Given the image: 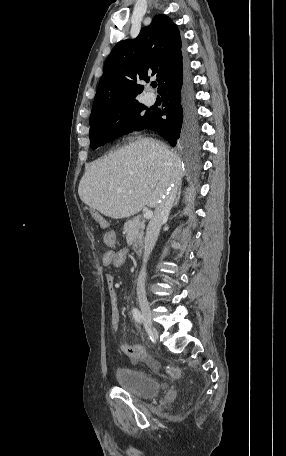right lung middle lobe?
<instances>
[{
  "label": "right lung middle lobe",
  "mask_w": 286,
  "mask_h": 456,
  "mask_svg": "<svg viewBox=\"0 0 286 456\" xmlns=\"http://www.w3.org/2000/svg\"><path fill=\"white\" fill-rule=\"evenodd\" d=\"M146 107L140 103L112 108L94 120L90 121V147H97L115 140L118 136L129 133L132 129H144L150 123L152 111H146ZM194 133L184 142L178 145L191 143L197 135L196 126Z\"/></svg>",
  "instance_id": "right-lung-middle-lobe-1"
}]
</instances>
